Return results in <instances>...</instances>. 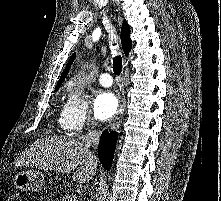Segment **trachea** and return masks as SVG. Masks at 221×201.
<instances>
[{
    "label": "trachea",
    "mask_w": 221,
    "mask_h": 201,
    "mask_svg": "<svg viewBox=\"0 0 221 201\" xmlns=\"http://www.w3.org/2000/svg\"><path fill=\"white\" fill-rule=\"evenodd\" d=\"M122 69V58L121 56L117 55L113 59V71L116 75H120Z\"/></svg>",
    "instance_id": "1"
}]
</instances>
